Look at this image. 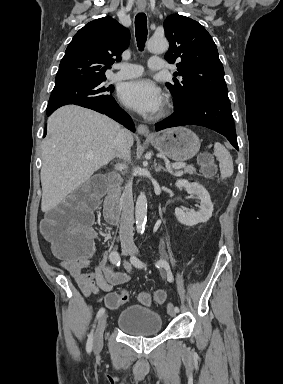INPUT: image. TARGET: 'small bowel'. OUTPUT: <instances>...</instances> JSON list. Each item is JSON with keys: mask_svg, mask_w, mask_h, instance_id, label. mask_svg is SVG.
I'll return each mask as SVG.
<instances>
[{"mask_svg": "<svg viewBox=\"0 0 283 384\" xmlns=\"http://www.w3.org/2000/svg\"><path fill=\"white\" fill-rule=\"evenodd\" d=\"M60 266L75 279L85 296L111 292L115 286L128 282L132 273L129 262L124 263V271H115L106 260L101 261L93 271H89L88 258L79 261L61 260Z\"/></svg>", "mask_w": 283, "mask_h": 384, "instance_id": "1", "label": "small bowel"}]
</instances>
